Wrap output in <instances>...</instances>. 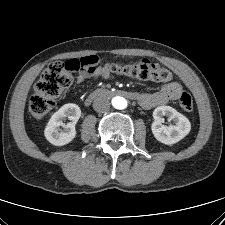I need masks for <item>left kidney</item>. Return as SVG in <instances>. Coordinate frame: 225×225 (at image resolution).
Returning a JSON list of instances; mask_svg holds the SVG:
<instances>
[{"label": "left kidney", "instance_id": "1", "mask_svg": "<svg viewBox=\"0 0 225 225\" xmlns=\"http://www.w3.org/2000/svg\"><path fill=\"white\" fill-rule=\"evenodd\" d=\"M167 116L174 121L173 125L165 126L161 122ZM154 122L151 129L154 137L163 144L171 145L179 142L191 130V123L184 115L170 106H160L153 111Z\"/></svg>", "mask_w": 225, "mask_h": 225}]
</instances>
